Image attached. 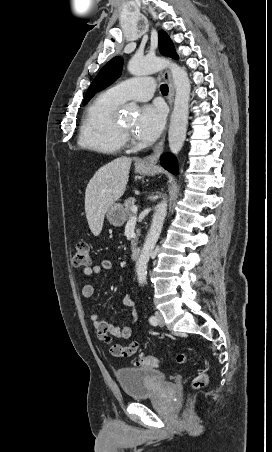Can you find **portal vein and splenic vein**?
I'll use <instances>...</instances> for the list:
<instances>
[{
  "instance_id": "18ae733b",
  "label": "portal vein and splenic vein",
  "mask_w": 272,
  "mask_h": 452,
  "mask_svg": "<svg viewBox=\"0 0 272 452\" xmlns=\"http://www.w3.org/2000/svg\"><path fill=\"white\" fill-rule=\"evenodd\" d=\"M132 212H133V214L136 216V214H137V212H138L137 206L134 205V206L132 207ZM135 216H134V217H135Z\"/></svg>"
}]
</instances>
